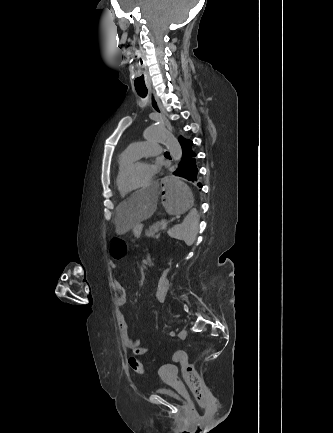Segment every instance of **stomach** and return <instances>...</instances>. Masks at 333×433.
Segmentation results:
<instances>
[{"mask_svg": "<svg viewBox=\"0 0 333 433\" xmlns=\"http://www.w3.org/2000/svg\"><path fill=\"white\" fill-rule=\"evenodd\" d=\"M164 199L165 215L177 220L179 215H188L193 209V192L189 183H183V176H162V189L159 192ZM142 225L133 228V234L139 237Z\"/></svg>", "mask_w": 333, "mask_h": 433, "instance_id": "0dacf381", "label": "stomach"}]
</instances>
